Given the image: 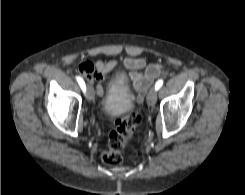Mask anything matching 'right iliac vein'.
<instances>
[{
	"label": "right iliac vein",
	"mask_w": 245,
	"mask_h": 195,
	"mask_svg": "<svg viewBox=\"0 0 245 195\" xmlns=\"http://www.w3.org/2000/svg\"><path fill=\"white\" fill-rule=\"evenodd\" d=\"M86 97L89 101H94V90L90 85L87 86Z\"/></svg>",
	"instance_id": "63e3f726"
}]
</instances>
